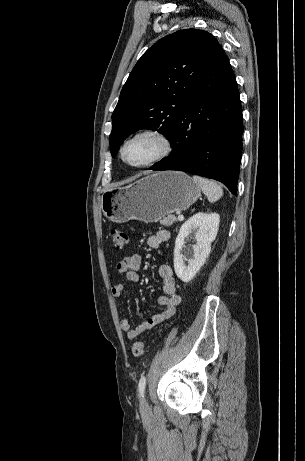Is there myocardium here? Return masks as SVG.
Returning a JSON list of instances; mask_svg holds the SVG:
<instances>
[{
	"label": "myocardium",
	"instance_id": "myocardium-1",
	"mask_svg": "<svg viewBox=\"0 0 305 461\" xmlns=\"http://www.w3.org/2000/svg\"><path fill=\"white\" fill-rule=\"evenodd\" d=\"M138 138H151V139L155 140L159 145V150L150 159H148V160H146V161H144L142 163L132 164V163L128 162L125 159L124 150H125L126 146L130 142H132V141H134V140H136ZM172 150H173V143H172V141L170 140V138L168 137V135L164 131H162L159 128H155V127H147V128L139 129L138 131H136L133 134H131L130 136H128L123 141V143L121 144L119 154H120L121 160L126 165H128L129 167H132V168L140 169V168L150 167V166H152L154 164H157L158 162L164 160L165 158H167L171 154Z\"/></svg>",
	"mask_w": 305,
	"mask_h": 461
}]
</instances>
